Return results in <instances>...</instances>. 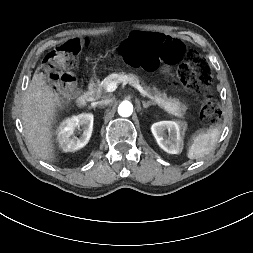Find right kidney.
<instances>
[{
	"label": "right kidney",
	"mask_w": 253,
	"mask_h": 253,
	"mask_svg": "<svg viewBox=\"0 0 253 253\" xmlns=\"http://www.w3.org/2000/svg\"><path fill=\"white\" fill-rule=\"evenodd\" d=\"M94 116L91 113L72 116L64 120L58 127L57 140L64 152H74L83 148L89 141L93 130ZM82 135L77 138L75 131L80 129Z\"/></svg>",
	"instance_id": "right-kidney-1"
}]
</instances>
